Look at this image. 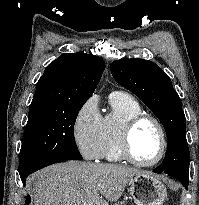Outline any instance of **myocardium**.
<instances>
[{"mask_svg":"<svg viewBox=\"0 0 199 205\" xmlns=\"http://www.w3.org/2000/svg\"><path fill=\"white\" fill-rule=\"evenodd\" d=\"M149 121L153 123L158 129L161 147L158 156L150 162L139 161L132 153L131 149V138L136 127L145 122ZM168 141L165 129L162 123L154 116L146 113L137 114L129 118L122 126L120 136H119V150L124 160L131 164L139 167H151L162 161L167 151Z\"/></svg>","mask_w":199,"mask_h":205,"instance_id":"myocardium-1","label":"myocardium"}]
</instances>
